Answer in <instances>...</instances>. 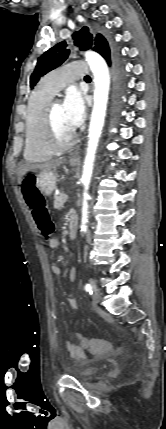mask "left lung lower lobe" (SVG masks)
Returning a JSON list of instances; mask_svg holds the SVG:
<instances>
[{
	"mask_svg": "<svg viewBox=\"0 0 166 429\" xmlns=\"http://www.w3.org/2000/svg\"><path fill=\"white\" fill-rule=\"evenodd\" d=\"M98 53L104 57L107 61L108 65H111V57H110V49L109 46L103 47L101 49H97Z\"/></svg>",
	"mask_w": 166,
	"mask_h": 429,
	"instance_id": "1",
	"label": "left lung lower lobe"
}]
</instances>
